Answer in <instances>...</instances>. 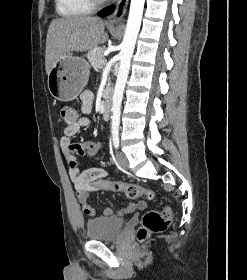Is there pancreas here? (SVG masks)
<instances>
[{
  "mask_svg": "<svg viewBox=\"0 0 247 280\" xmlns=\"http://www.w3.org/2000/svg\"><path fill=\"white\" fill-rule=\"evenodd\" d=\"M103 53H104V49L101 47H95L88 52L87 58L91 66L95 70H98L99 68L102 67V61L105 60Z\"/></svg>",
  "mask_w": 247,
  "mask_h": 280,
  "instance_id": "1",
  "label": "pancreas"
}]
</instances>
